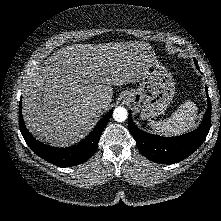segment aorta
I'll return each instance as SVG.
<instances>
[{"label": "aorta", "mask_w": 221, "mask_h": 221, "mask_svg": "<svg viewBox=\"0 0 221 221\" xmlns=\"http://www.w3.org/2000/svg\"><path fill=\"white\" fill-rule=\"evenodd\" d=\"M128 117V112L124 107H117L113 111V118L117 122H124Z\"/></svg>", "instance_id": "762f6f07"}]
</instances>
